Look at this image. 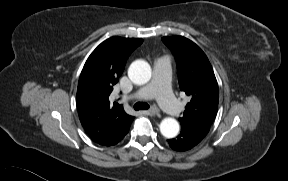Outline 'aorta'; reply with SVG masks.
Listing matches in <instances>:
<instances>
[{
	"mask_svg": "<svg viewBox=\"0 0 288 181\" xmlns=\"http://www.w3.org/2000/svg\"><path fill=\"white\" fill-rule=\"evenodd\" d=\"M151 67L148 62L144 60L134 61L128 70L130 80L138 85L146 84L151 79ZM160 132L166 138H174L179 133V123L176 119L167 117L160 123Z\"/></svg>",
	"mask_w": 288,
	"mask_h": 181,
	"instance_id": "1",
	"label": "aorta"
}]
</instances>
